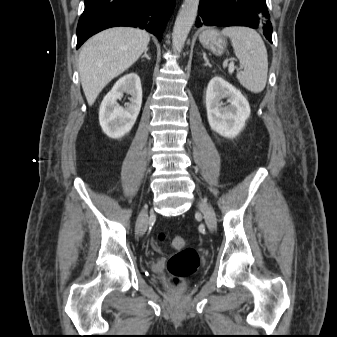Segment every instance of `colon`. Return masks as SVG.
Segmentation results:
<instances>
[{"instance_id": "5ec220e1", "label": "colon", "mask_w": 337, "mask_h": 337, "mask_svg": "<svg viewBox=\"0 0 337 337\" xmlns=\"http://www.w3.org/2000/svg\"><path fill=\"white\" fill-rule=\"evenodd\" d=\"M158 241L165 240V234L159 233ZM185 239L175 236L171 240V246L176 253L169 259L167 270L170 274V284L176 285L182 278L192 275L199 266V256L195 249L186 247Z\"/></svg>"}]
</instances>
